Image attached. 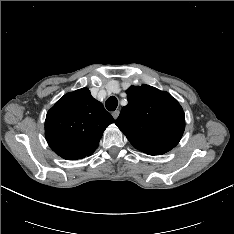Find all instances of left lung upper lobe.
I'll list each match as a JSON object with an SVG mask.
<instances>
[{
	"instance_id": "5c2ea615",
	"label": "left lung upper lobe",
	"mask_w": 234,
	"mask_h": 234,
	"mask_svg": "<svg viewBox=\"0 0 234 234\" xmlns=\"http://www.w3.org/2000/svg\"><path fill=\"white\" fill-rule=\"evenodd\" d=\"M128 104L115 124L138 150L150 155L164 154L175 147L185 129V115L168 92L149 86H131Z\"/></svg>"
}]
</instances>
